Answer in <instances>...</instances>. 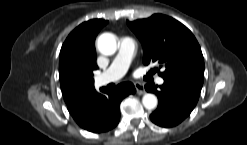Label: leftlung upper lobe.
<instances>
[{"label": "left lung upper lobe", "instance_id": "obj_1", "mask_svg": "<svg viewBox=\"0 0 247 145\" xmlns=\"http://www.w3.org/2000/svg\"><path fill=\"white\" fill-rule=\"evenodd\" d=\"M127 24L142 43L145 65L158 63L165 68L164 72H158L163 79H178L202 88L203 55L186 26L162 14Z\"/></svg>", "mask_w": 247, "mask_h": 145}]
</instances>
